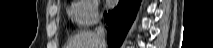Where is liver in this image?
Listing matches in <instances>:
<instances>
[{
    "mask_svg": "<svg viewBox=\"0 0 213 48\" xmlns=\"http://www.w3.org/2000/svg\"><path fill=\"white\" fill-rule=\"evenodd\" d=\"M66 48H99V45L94 32L82 31L70 39Z\"/></svg>",
    "mask_w": 213,
    "mask_h": 48,
    "instance_id": "liver-1",
    "label": "liver"
}]
</instances>
